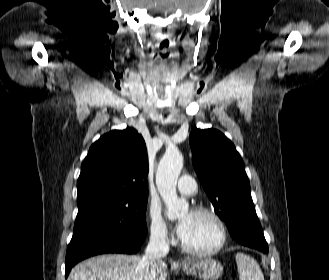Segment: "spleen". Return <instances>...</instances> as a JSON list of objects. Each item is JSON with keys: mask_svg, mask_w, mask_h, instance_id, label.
<instances>
[{"mask_svg": "<svg viewBox=\"0 0 329 280\" xmlns=\"http://www.w3.org/2000/svg\"><path fill=\"white\" fill-rule=\"evenodd\" d=\"M236 263L240 280H264L260 266L249 255L237 253Z\"/></svg>", "mask_w": 329, "mask_h": 280, "instance_id": "1", "label": "spleen"}]
</instances>
